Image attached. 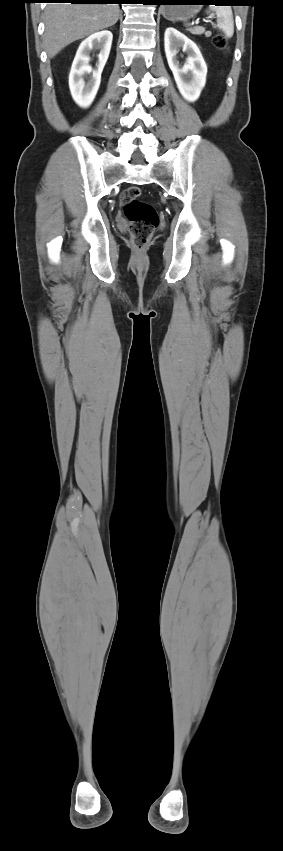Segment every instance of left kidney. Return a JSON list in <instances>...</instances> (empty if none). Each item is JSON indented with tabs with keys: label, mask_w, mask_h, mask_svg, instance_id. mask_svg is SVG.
<instances>
[{
	"label": "left kidney",
	"mask_w": 283,
	"mask_h": 851,
	"mask_svg": "<svg viewBox=\"0 0 283 851\" xmlns=\"http://www.w3.org/2000/svg\"><path fill=\"white\" fill-rule=\"evenodd\" d=\"M164 47L168 65L177 87L189 102L196 101L206 83L207 66L197 45L173 27L166 29ZM187 54L183 65L178 60V50Z\"/></svg>",
	"instance_id": "1"
}]
</instances>
